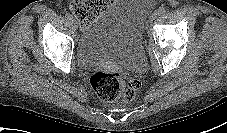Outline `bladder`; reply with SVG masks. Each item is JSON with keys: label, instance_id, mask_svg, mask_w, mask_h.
<instances>
[{"label": "bladder", "instance_id": "bladder-1", "mask_svg": "<svg viewBox=\"0 0 227 133\" xmlns=\"http://www.w3.org/2000/svg\"><path fill=\"white\" fill-rule=\"evenodd\" d=\"M153 5L154 0H114L82 30L76 47L79 65L118 64L131 71L142 70L143 31Z\"/></svg>", "mask_w": 227, "mask_h": 133}]
</instances>
